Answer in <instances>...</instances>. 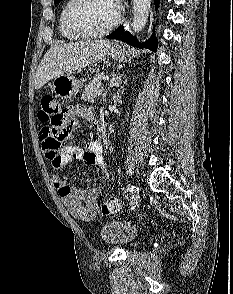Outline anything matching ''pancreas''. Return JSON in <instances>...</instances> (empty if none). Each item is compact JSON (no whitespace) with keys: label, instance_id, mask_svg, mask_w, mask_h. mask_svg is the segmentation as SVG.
Wrapping results in <instances>:
<instances>
[{"label":"pancreas","instance_id":"1","mask_svg":"<svg viewBox=\"0 0 233 294\" xmlns=\"http://www.w3.org/2000/svg\"><path fill=\"white\" fill-rule=\"evenodd\" d=\"M104 73L96 74L93 79L89 81L88 84L85 85L84 91L82 93V99L85 101H89L99 96L103 90L102 78Z\"/></svg>","mask_w":233,"mask_h":294}]
</instances>
